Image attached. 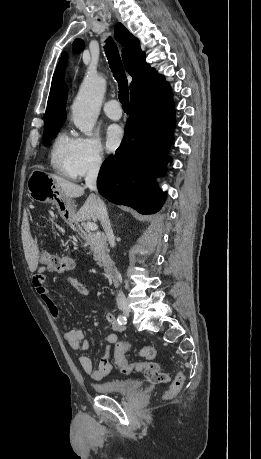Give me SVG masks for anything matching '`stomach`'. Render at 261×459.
<instances>
[{
    "mask_svg": "<svg viewBox=\"0 0 261 459\" xmlns=\"http://www.w3.org/2000/svg\"><path fill=\"white\" fill-rule=\"evenodd\" d=\"M27 190L33 200L57 205L60 211L62 209L64 218L68 213L72 214L67 198L50 174L39 169L33 170L27 181Z\"/></svg>",
    "mask_w": 261,
    "mask_h": 459,
    "instance_id": "1",
    "label": "stomach"
}]
</instances>
